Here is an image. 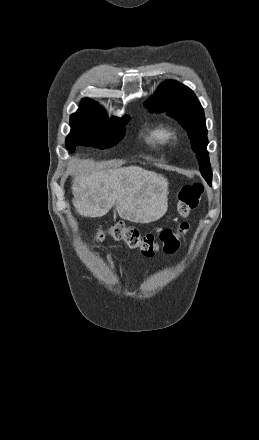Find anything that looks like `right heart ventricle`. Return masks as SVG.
<instances>
[{"instance_id": "e07e8e85", "label": "right heart ventricle", "mask_w": 259, "mask_h": 440, "mask_svg": "<svg viewBox=\"0 0 259 440\" xmlns=\"http://www.w3.org/2000/svg\"><path fill=\"white\" fill-rule=\"evenodd\" d=\"M168 127L163 123H155L148 126L144 131V139L147 143L158 146L169 141Z\"/></svg>"}]
</instances>
